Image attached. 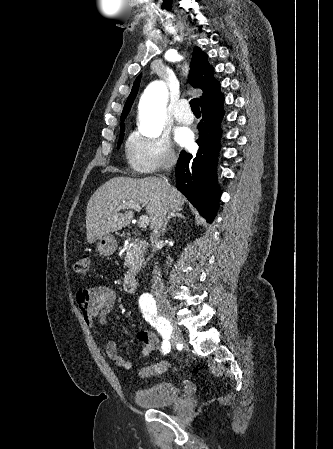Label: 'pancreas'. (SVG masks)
<instances>
[{
  "mask_svg": "<svg viewBox=\"0 0 333 449\" xmlns=\"http://www.w3.org/2000/svg\"><path fill=\"white\" fill-rule=\"evenodd\" d=\"M126 260H125V266L129 267L134 263L135 259L139 258V252L138 249L134 246H128L126 248Z\"/></svg>",
  "mask_w": 333,
  "mask_h": 449,
  "instance_id": "cf45deb5",
  "label": "pancreas"
}]
</instances>
